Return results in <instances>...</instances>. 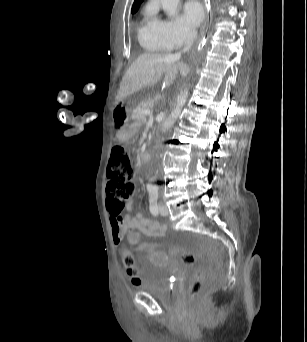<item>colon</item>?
I'll return each mask as SVG.
<instances>
[{"instance_id":"colon-1","label":"colon","mask_w":307,"mask_h":342,"mask_svg":"<svg viewBox=\"0 0 307 342\" xmlns=\"http://www.w3.org/2000/svg\"><path fill=\"white\" fill-rule=\"evenodd\" d=\"M131 166L129 157L122 145H116L111 150L109 168L107 172V194L111 199V213L120 217L127 208V200L135 190L134 183L130 180ZM130 242L139 240L140 232L134 231L132 226L127 228ZM138 251L153 252V245L138 244ZM172 257H179L186 268H197L198 263L192 252L183 250L181 246H171ZM135 259L130 253L124 256L126 272L130 282L134 286L141 285L142 279L137 271L133 269ZM191 281H186V288H189V294H186L187 307H200L199 295H202V288L206 283L205 269H190Z\"/></svg>"}]
</instances>
